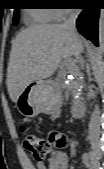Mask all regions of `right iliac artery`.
Segmentation results:
<instances>
[{"instance_id":"1","label":"right iliac artery","mask_w":104,"mask_h":169,"mask_svg":"<svg viewBox=\"0 0 104 169\" xmlns=\"http://www.w3.org/2000/svg\"><path fill=\"white\" fill-rule=\"evenodd\" d=\"M89 156H90V159H91L92 168L93 169H102L100 167V164L98 162V159H97L95 153L92 150L89 152Z\"/></svg>"}]
</instances>
